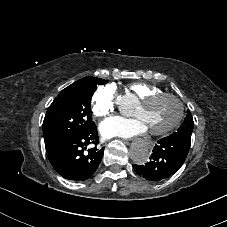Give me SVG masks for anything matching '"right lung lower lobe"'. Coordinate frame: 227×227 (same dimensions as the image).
Returning <instances> with one entry per match:
<instances>
[{
	"label": "right lung lower lobe",
	"mask_w": 227,
	"mask_h": 227,
	"mask_svg": "<svg viewBox=\"0 0 227 227\" xmlns=\"http://www.w3.org/2000/svg\"><path fill=\"white\" fill-rule=\"evenodd\" d=\"M98 138L96 126L82 133L63 137L46 146L49 161L64 178L85 180L97 170L104 154V148L96 147L84 153L89 144H98Z\"/></svg>",
	"instance_id": "right-lung-lower-lobe-1"
}]
</instances>
